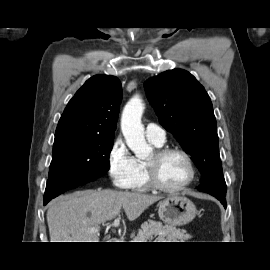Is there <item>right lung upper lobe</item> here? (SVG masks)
<instances>
[{"label":"right lung upper lobe","instance_id":"obj_1","mask_svg":"<svg viewBox=\"0 0 270 270\" xmlns=\"http://www.w3.org/2000/svg\"><path fill=\"white\" fill-rule=\"evenodd\" d=\"M121 100L122 87L117 77H91L69 101L55 135L114 137Z\"/></svg>","mask_w":270,"mask_h":270}]
</instances>
